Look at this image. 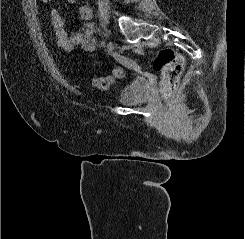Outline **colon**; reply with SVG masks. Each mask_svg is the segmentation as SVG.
<instances>
[{"label": "colon", "mask_w": 245, "mask_h": 239, "mask_svg": "<svg viewBox=\"0 0 245 239\" xmlns=\"http://www.w3.org/2000/svg\"><path fill=\"white\" fill-rule=\"evenodd\" d=\"M50 3L52 0H42ZM153 68L161 75L160 87L163 97L169 98L176 89L184 68V58L172 48L163 47L157 51L153 58ZM124 78L120 67L113 70L111 75L98 77L92 80V85L101 90H108L117 80Z\"/></svg>", "instance_id": "1"}]
</instances>
